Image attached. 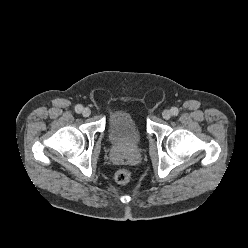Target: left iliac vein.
I'll return each mask as SVG.
<instances>
[{"label":"left iliac vein","instance_id":"4c4485c4","mask_svg":"<svg viewBox=\"0 0 248 248\" xmlns=\"http://www.w3.org/2000/svg\"><path fill=\"white\" fill-rule=\"evenodd\" d=\"M171 116H172V114H171V111H170V110H164V111L162 112V117H163L165 120L170 119Z\"/></svg>","mask_w":248,"mask_h":248}]
</instances>
